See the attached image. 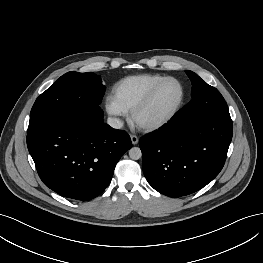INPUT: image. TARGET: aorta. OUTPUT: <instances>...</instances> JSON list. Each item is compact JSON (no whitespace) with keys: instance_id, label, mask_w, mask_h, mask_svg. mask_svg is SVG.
<instances>
[{"instance_id":"762f6f07","label":"aorta","mask_w":263,"mask_h":263,"mask_svg":"<svg viewBox=\"0 0 263 263\" xmlns=\"http://www.w3.org/2000/svg\"><path fill=\"white\" fill-rule=\"evenodd\" d=\"M142 156V152L140 150V148L138 147H132L130 150H129V157L133 160H138L140 159Z\"/></svg>"}]
</instances>
